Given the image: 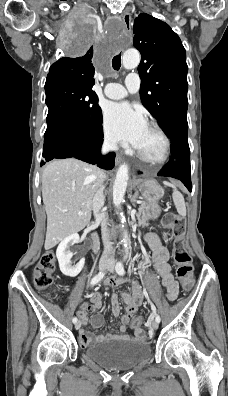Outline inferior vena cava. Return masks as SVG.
Segmentation results:
<instances>
[{"label":"inferior vena cava","mask_w":228,"mask_h":396,"mask_svg":"<svg viewBox=\"0 0 228 396\" xmlns=\"http://www.w3.org/2000/svg\"><path fill=\"white\" fill-rule=\"evenodd\" d=\"M117 150V143L115 141H106L103 144L102 152L107 153L109 151H116ZM104 186H100L96 191L93 201H92V208L96 220L101 222V230H102V239L104 243V253H113L112 243L109 239V231H108V218L105 213L100 212L105 201V196L103 194Z\"/></svg>","instance_id":"1"}]
</instances>
